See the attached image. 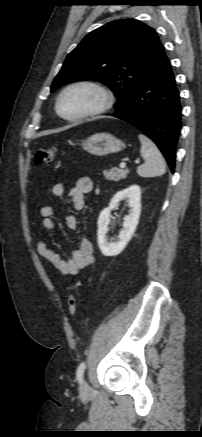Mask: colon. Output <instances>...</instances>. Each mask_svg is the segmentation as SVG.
Here are the masks:
<instances>
[{
  "instance_id": "colon-1",
  "label": "colon",
  "mask_w": 202,
  "mask_h": 437,
  "mask_svg": "<svg viewBox=\"0 0 202 437\" xmlns=\"http://www.w3.org/2000/svg\"><path fill=\"white\" fill-rule=\"evenodd\" d=\"M57 156V149L54 147H50V148H38L36 153H35V157H34V162L36 165H41V164H45V163H49L52 162ZM77 298L74 295H71L69 297L68 300V310L70 315H75L76 310H77Z\"/></svg>"
}]
</instances>
